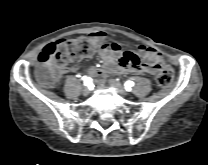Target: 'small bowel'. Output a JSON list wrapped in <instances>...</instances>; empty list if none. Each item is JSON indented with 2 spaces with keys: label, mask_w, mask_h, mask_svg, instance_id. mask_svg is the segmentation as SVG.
<instances>
[{
  "label": "small bowel",
  "mask_w": 208,
  "mask_h": 165,
  "mask_svg": "<svg viewBox=\"0 0 208 165\" xmlns=\"http://www.w3.org/2000/svg\"><path fill=\"white\" fill-rule=\"evenodd\" d=\"M89 38L95 44V52H97L100 58L103 60V66L97 69L93 65H87L86 69L91 72L97 79H102L106 73H110L119 70L123 73H147L155 75L158 70V62L160 59L159 53L149 46L142 45L139 47L138 52H131L134 58L125 59V53L121 52L122 48L119 43L107 42V33L99 30L94 31L89 35ZM144 58L149 62H143L140 58ZM75 67H69L63 71L68 73L75 71Z\"/></svg>",
  "instance_id": "obj_1"
}]
</instances>
